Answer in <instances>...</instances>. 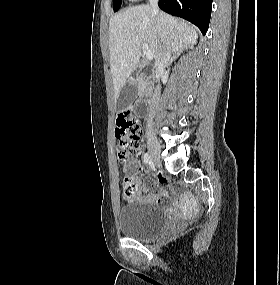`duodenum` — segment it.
Wrapping results in <instances>:
<instances>
[{"label":"duodenum","mask_w":280,"mask_h":285,"mask_svg":"<svg viewBox=\"0 0 280 285\" xmlns=\"http://www.w3.org/2000/svg\"><path fill=\"white\" fill-rule=\"evenodd\" d=\"M149 83L150 82H147L145 84V86L143 87L142 92H141V94H142V101L144 102L145 105H147L149 103V100L151 98V92H150V89H149ZM147 114H148V110L145 107L144 112H143L142 115H143V117H146Z\"/></svg>","instance_id":"410a0bca"}]
</instances>
